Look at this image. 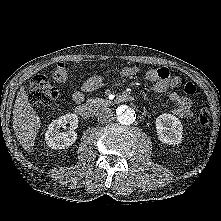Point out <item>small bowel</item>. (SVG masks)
<instances>
[{
  "label": "small bowel",
  "mask_w": 221,
  "mask_h": 221,
  "mask_svg": "<svg viewBox=\"0 0 221 221\" xmlns=\"http://www.w3.org/2000/svg\"><path fill=\"white\" fill-rule=\"evenodd\" d=\"M139 73L137 67H126L122 70V75L132 76ZM146 79L154 83L153 90L156 93H165L171 89L181 86L183 81L178 76H173L168 68L150 69L146 72ZM105 83V77L101 74L93 75L87 78L82 84L81 91H76L72 95V99L76 103L84 100V92H92L101 88ZM172 102L176 103L173 113L181 118H191L193 115L190 98L181 95L176 91L169 94Z\"/></svg>",
  "instance_id": "obj_1"
}]
</instances>
